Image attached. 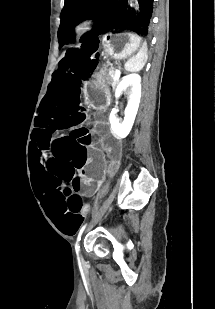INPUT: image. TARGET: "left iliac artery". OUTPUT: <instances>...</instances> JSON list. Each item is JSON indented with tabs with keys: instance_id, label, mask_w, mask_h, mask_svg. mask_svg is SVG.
<instances>
[{
	"instance_id": "obj_1",
	"label": "left iliac artery",
	"mask_w": 215,
	"mask_h": 309,
	"mask_svg": "<svg viewBox=\"0 0 215 309\" xmlns=\"http://www.w3.org/2000/svg\"><path fill=\"white\" fill-rule=\"evenodd\" d=\"M86 226H87V223L84 224V225L80 228V230H79L78 237H77L76 244H75L76 253H79V252H80L79 241L81 240V235H82L84 229L86 228Z\"/></svg>"
}]
</instances>
